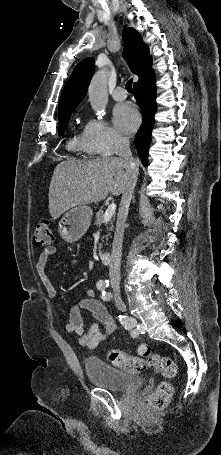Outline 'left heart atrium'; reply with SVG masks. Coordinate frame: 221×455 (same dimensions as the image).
Returning <instances> with one entry per match:
<instances>
[{"instance_id":"39dd6f15","label":"left heart atrium","mask_w":221,"mask_h":455,"mask_svg":"<svg viewBox=\"0 0 221 455\" xmlns=\"http://www.w3.org/2000/svg\"><path fill=\"white\" fill-rule=\"evenodd\" d=\"M113 122L120 131L132 133L140 123V115L133 105L119 104L113 110Z\"/></svg>"}]
</instances>
